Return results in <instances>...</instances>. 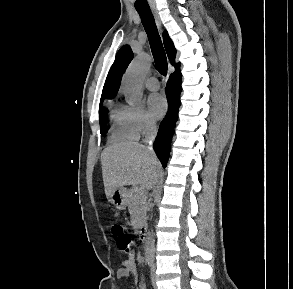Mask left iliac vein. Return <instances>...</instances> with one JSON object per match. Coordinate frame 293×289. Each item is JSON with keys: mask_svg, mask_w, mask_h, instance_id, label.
Here are the masks:
<instances>
[{"mask_svg": "<svg viewBox=\"0 0 293 289\" xmlns=\"http://www.w3.org/2000/svg\"><path fill=\"white\" fill-rule=\"evenodd\" d=\"M151 281H152V285H153L154 289H157L156 278H155V264L154 263H152V266H151Z\"/></svg>", "mask_w": 293, "mask_h": 289, "instance_id": "1", "label": "left iliac vein"}]
</instances>
